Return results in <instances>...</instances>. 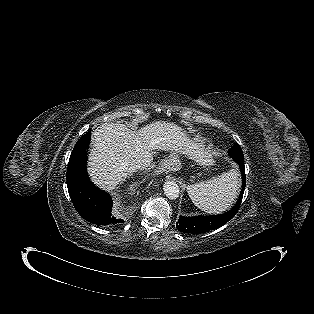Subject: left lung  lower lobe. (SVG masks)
I'll use <instances>...</instances> for the list:
<instances>
[{"mask_svg":"<svg viewBox=\"0 0 314 314\" xmlns=\"http://www.w3.org/2000/svg\"><path fill=\"white\" fill-rule=\"evenodd\" d=\"M235 161L239 164L242 173V189L236 205L227 213L217 216H195V217L180 216L178 222L176 223V228L178 229V231L190 234L205 233L207 231L215 230L221 227L235 216V214L239 210L244 189L246 186L244 159Z\"/></svg>","mask_w":314,"mask_h":314,"instance_id":"0a47b994","label":"left lung lower lobe"}]
</instances>
